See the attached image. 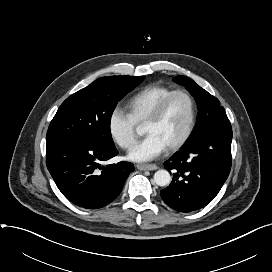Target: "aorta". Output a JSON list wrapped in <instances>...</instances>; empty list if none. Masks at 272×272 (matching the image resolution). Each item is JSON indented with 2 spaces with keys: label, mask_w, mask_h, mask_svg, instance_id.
<instances>
[{
  "label": "aorta",
  "mask_w": 272,
  "mask_h": 272,
  "mask_svg": "<svg viewBox=\"0 0 272 272\" xmlns=\"http://www.w3.org/2000/svg\"><path fill=\"white\" fill-rule=\"evenodd\" d=\"M138 134H141V132L138 131ZM154 182L161 187L169 185L171 182L170 173L167 170H158L154 174Z\"/></svg>",
  "instance_id": "762f6f07"
}]
</instances>
